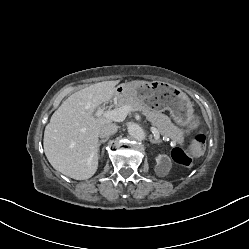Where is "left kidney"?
<instances>
[{
    "label": "left kidney",
    "mask_w": 249,
    "mask_h": 249,
    "mask_svg": "<svg viewBox=\"0 0 249 249\" xmlns=\"http://www.w3.org/2000/svg\"><path fill=\"white\" fill-rule=\"evenodd\" d=\"M156 161L155 173L161 177L166 176L172 167L170 158L162 151L157 156Z\"/></svg>",
    "instance_id": "5707ae66"
}]
</instances>
